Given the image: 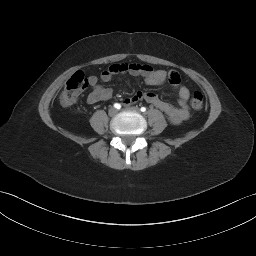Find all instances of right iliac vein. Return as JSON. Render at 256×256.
<instances>
[{
  "instance_id": "1",
  "label": "right iliac vein",
  "mask_w": 256,
  "mask_h": 256,
  "mask_svg": "<svg viewBox=\"0 0 256 256\" xmlns=\"http://www.w3.org/2000/svg\"><path fill=\"white\" fill-rule=\"evenodd\" d=\"M118 113V111H117V109L116 108H110L109 109V111H108V114L110 115V116H115L116 114Z\"/></svg>"
}]
</instances>
